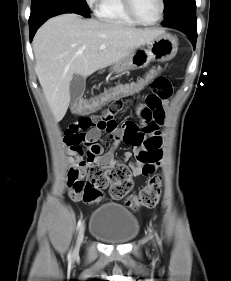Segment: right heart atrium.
<instances>
[{
	"mask_svg": "<svg viewBox=\"0 0 231 281\" xmlns=\"http://www.w3.org/2000/svg\"><path fill=\"white\" fill-rule=\"evenodd\" d=\"M101 0H85L86 4L91 8H97Z\"/></svg>",
	"mask_w": 231,
	"mask_h": 281,
	"instance_id": "right-heart-atrium-1",
	"label": "right heart atrium"
}]
</instances>
